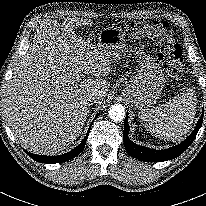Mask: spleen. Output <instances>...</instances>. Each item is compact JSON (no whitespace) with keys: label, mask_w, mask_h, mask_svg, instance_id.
Listing matches in <instances>:
<instances>
[{"label":"spleen","mask_w":206,"mask_h":206,"mask_svg":"<svg viewBox=\"0 0 206 206\" xmlns=\"http://www.w3.org/2000/svg\"><path fill=\"white\" fill-rule=\"evenodd\" d=\"M196 92L187 88L166 104L139 113L144 127L155 137L176 141L190 130L196 109Z\"/></svg>","instance_id":"obj_1"}]
</instances>
